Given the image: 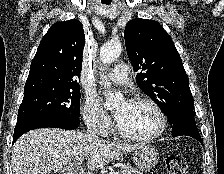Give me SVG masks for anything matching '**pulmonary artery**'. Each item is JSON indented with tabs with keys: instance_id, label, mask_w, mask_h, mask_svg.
Segmentation results:
<instances>
[{
	"instance_id": "pulmonary-artery-1",
	"label": "pulmonary artery",
	"mask_w": 224,
	"mask_h": 174,
	"mask_svg": "<svg viewBox=\"0 0 224 174\" xmlns=\"http://www.w3.org/2000/svg\"><path fill=\"white\" fill-rule=\"evenodd\" d=\"M107 80L117 85H125L128 83V71L125 64L117 65L108 75Z\"/></svg>"
}]
</instances>
